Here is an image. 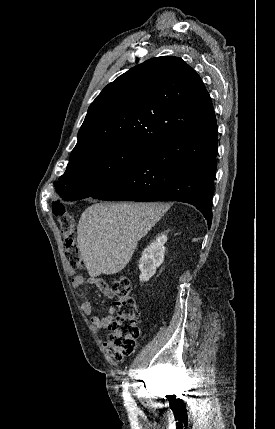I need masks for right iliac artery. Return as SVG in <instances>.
<instances>
[{
	"label": "right iliac artery",
	"instance_id": "82829eb1",
	"mask_svg": "<svg viewBox=\"0 0 275 429\" xmlns=\"http://www.w3.org/2000/svg\"><path fill=\"white\" fill-rule=\"evenodd\" d=\"M123 387H124L123 396H124L125 403L128 407L131 408L133 406V400L128 392L127 384H124Z\"/></svg>",
	"mask_w": 275,
	"mask_h": 429
}]
</instances>
